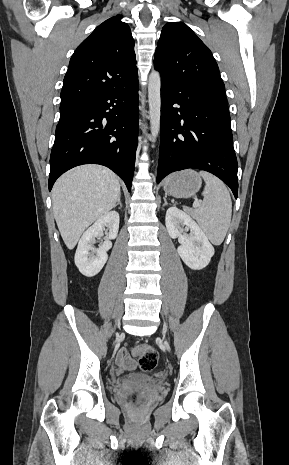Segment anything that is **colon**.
<instances>
[{"mask_svg": "<svg viewBox=\"0 0 289 465\" xmlns=\"http://www.w3.org/2000/svg\"><path fill=\"white\" fill-rule=\"evenodd\" d=\"M134 353L138 356V362L141 370L151 372L156 368L158 363V354L152 346L146 344L138 345L134 348ZM131 401L135 405H140L143 398L139 394H134L131 397Z\"/></svg>", "mask_w": 289, "mask_h": 465, "instance_id": "1", "label": "colon"}]
</instances>
